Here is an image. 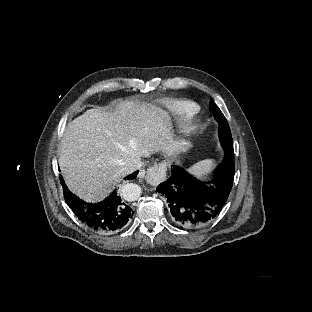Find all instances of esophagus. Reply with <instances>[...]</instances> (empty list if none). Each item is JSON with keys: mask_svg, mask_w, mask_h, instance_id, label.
Instances as JSON below:
<instances>
[{"mask_svg": "<svg viewBox=\"0 0 312 312\" xmlns=\"http://www.w3.org/2000/svg\"><path fill=\"white\" fill-rule=\"evenodd\" d=\"M167 167L164 162L149 167L145 172L138 174L139 178H144L152 186L158 185L166 178Z\"/></svg>", "mask_w": 312, "mask_h": 312, "instance_id": "obj_1", "label": "esophagus"}]
</instances>
